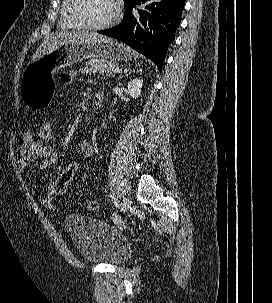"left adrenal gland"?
I'll use <instances>...</instances> for the list:
<instances>
[{"label": "left adrenal gland", "instance_id": "1", "mask_svg": "<svg viewBox=\"0 0 272 303\" xmlns=\"http://www.w3.org/2000/svg\"><path fill=\"white\" fill-rule=\"evenodd\" d=\"M142 70L140 69V70H137V72H141ZM132 72H135V71H125V75L123 76V75H121V76H119V78H118V80H120L121 78H123V77H126V76H128L129 74H131Z\"/></svg>", "mask_w": 272, "mask_h": 303}]
</instances>
